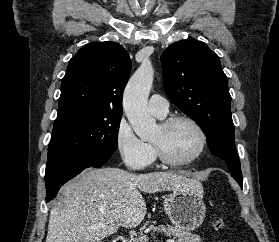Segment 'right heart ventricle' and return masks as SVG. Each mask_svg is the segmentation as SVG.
Segmentation results:
<instances>
[{
    "mask_svg": "<svg viewBox=\"0 0 279 242\" xmlns=\"http://www.w3.org/2000/svg\"><path fill=\"white\" fill-rule=\"evenodd\" d=\"M157 118H159V119H164L165 117H166V115L165 116H159V115H156V114H154ZM150 145V144H149ZM151 146V148H152V150H153V153H154V156H155V151H154V148H153V146L152 145H150Z\"/></svg>",
    "mask_w": 279,
    "mask_h": 242,
    "instance_id": "e07e8e85",
    "label": "right heart ventricle"
}]
</instances>
